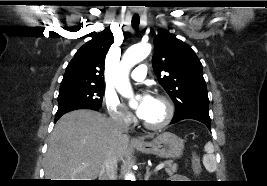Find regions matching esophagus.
<instances>
[{
	"instance_id": "obj_1",
	"label": "esophagus",
	"mask_w": 267,
	"mask_h": 186,
	"mask_svg": "<svg viewBox=\"0 0 267 186\" xmlns=\"http://www.w3.org/2000/svg\"><path fill=\"white\" fill-rule=\"evenodd\" d=\"M132 143H134V144H140V143H142V141L139 138H133L132 139Z\"/></svg>"
}]
</instances>
